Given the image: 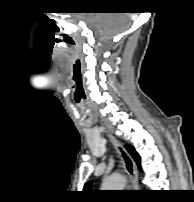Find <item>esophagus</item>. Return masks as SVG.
I'll use <instances>...</instances> for the list:
<instances>
[{"instance_id": "obj_1", "label": "esophagus", "mask_w": 194, "mask_h": 202, "mask_svg": "<svg viewBox=\"0 0 194 202\" xmlns=\"http://www.w3.org/2000/svg\"><path fill=\"white\" fill-rule=\"evenodd\" d=\"M112 141L114 143V146L117 152L119 153L122 159L124 169L129 176L132 187L134 188L138 187V171H137L134 160L128 154V152L125 150V148L123 147L121 143H119L118 141L114 139H112Z\"/></svg>"}]
</instances>
